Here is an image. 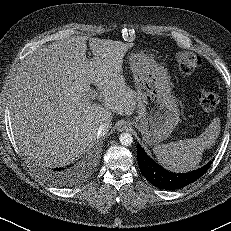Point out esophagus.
I'll use <instances>...</instances> for the list:
<instances>
[{
	"mask_svg": "<svg viewBox=\"0 0 231 231\" xmlns=\"http://www.w3.org/2000/svg\"><path fill=\"white\" fill-rule=\"evenodd\" d=\"M128 128H129V125L125 121L120 122L119 125H118V129L120 131L127 130Z\"/></svg>",
	"mask_w": 231,
	"mask_h": 231,
	"instance_id": "34e87169",
	"label": "esophagus"
}]
</instances>
